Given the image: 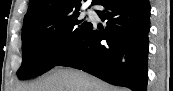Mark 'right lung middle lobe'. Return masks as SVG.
Instances as JSON below:
<instances>
[{
    "instance_id": "dd1d6c3e",
    "label": "right lung middle lobe",
    "mask_w": 173,
    "mask_h": 91,
    "mask_svg": "<svg viewBox=\"0 0 173 91\" xmlns=\"http://www.w3.org/2000/svg\"><path fill=\"white\" fill-rule=\"evenodd\" d=\"M92 23L80 12L29 25L22 29V66L19 79L39 76L50 70L83 40Z\"/></svg>"
}]
</instances>
